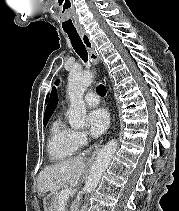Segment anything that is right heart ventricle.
<instances>
[{"label": "right heart ventricle", "mask_w": 179, "mask_h": 211, "mask_svg": "<svg viewBox=\"0 0 179 211\" xmlns=\"http://www.w3.org/2000/svg\"><path fill=\"white\" fill-rule=\"evenodd\" d=\"M48 153L53 162H61L71 158L77 146L73 140V129L59 116L56 117L49 131Z\"/></svg>", "instance_id": "e07e8e85"}]
</instances>
